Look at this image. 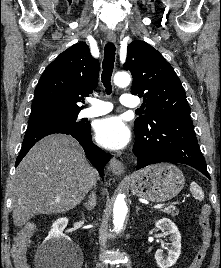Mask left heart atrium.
<instances>
[{
  "label": "left heart atrium",
  "instance_id": "obj_1",
  "mask_svg": "<svg viewBox=\"0 0 221 268\" xmlns=\"http://www.w3.org/2000/svg\"><path fill=\"white\" fill-rule=\"evenodd\" d=\"M130 137L128 126L119 117H107L96 124V141L105 148L122 149L129 143Z\"/></svg>",
  "mask_w": 221,
  "mask_h": 268
}]
</instances>
